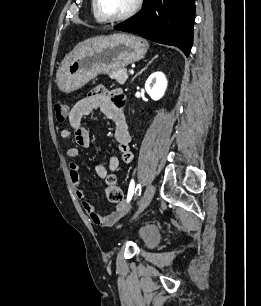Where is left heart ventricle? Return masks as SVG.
I'll return each mask as SVG.
<instances>
[{
	"instance_id": "left-heart-ventricle-1",
	"label": "left heart ventricle",
	"mask_w": 261,
	"mask_h": 306,
	"mask_svg": "<svg viewBox=\"0 0 261 306\" xmlns=\"http://www.w3.org/2000/svg\"><path fill=\"white\" fill-rule=\"evenodd\" d=\"M135 0H99L102 12L111 17L120 16L131 9Z\"/></svg>"
}]
</instances>
